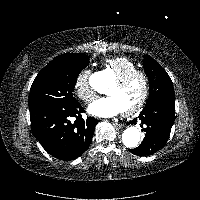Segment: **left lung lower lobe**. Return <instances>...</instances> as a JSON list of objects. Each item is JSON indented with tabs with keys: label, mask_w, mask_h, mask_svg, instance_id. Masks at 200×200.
Instances as JSON below:
<instances>
[{
	"label": "left lung lower lobe",
	"mask_w": 200,
	"mask_h": 200,
	"mask_svg": "<svg viewBox=\"0 0 200 200\" xmlns=\"http://www.w3.org/2000/svg\"><path fill=\"white\" fill-rule=\"evenodd\" d=\"M141 124H145V138L141 145L130 152L139 156H148L163 148L171 132L175 120V100L158 99L146 104L139 115ZM134 119L130 123H136ZM142 127V125H141Z\"/></svg>",
	"instance_id": "left-lung-lower-lobe-1"
}]
</instances>
